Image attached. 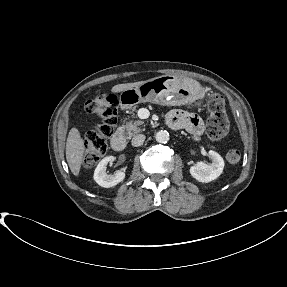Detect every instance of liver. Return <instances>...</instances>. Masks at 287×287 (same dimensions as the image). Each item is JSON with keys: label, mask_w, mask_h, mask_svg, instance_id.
Wrapping results in <instances>:
<instances>
[{"label": "liver", "mask_w": 287, "mask_h": 287, "mask_svg": "<svg viewBox=\"0 0 287 287\" xmlns=\"http://www.w3.org/2000/svg\"><path fill=\"white\" fill-rule=\"evenodd\" d=\"M145 81H139L134 83H125V84H118L112 87L111 91L113 93L122 92L126 89H131L137 87L141 83ZM84 142L81 138L80 132L76 127H73L67 137L66 142V159L68 166L73 173V175L78 176L81 165L83 163L84 157Z\"/></svg>", "instance_id": "obj_1"}]
</instances>
